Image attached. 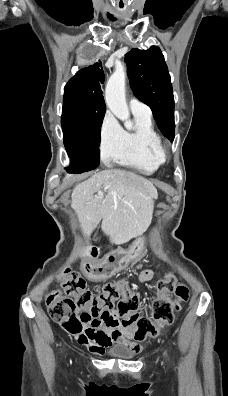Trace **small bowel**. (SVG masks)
Returning <instances> with one entry per match:
<instances>
[{
    "instance_id": "c3829d8e",
    "label": "small bowel",
    "mask_w": 228,
    "mask_h": 396,
    "mask_svg": "<svg viewBox=\"0 0 228 396\" xmlns=\"http://www.w3.org/2000/svg\"><path fill=\"white\" fill-rule=\"evenodd\" d=\"M131 261V256L127 252H117L107 256L99 265L85 266L86 272H92L99 277L112 275L116 271L124 268ZM141 269L139 274L140 282H147L153 278V272L148 269H142V264L137 265ZM81 345H85L91 352L103 354L105 349L112 344H124L129 346L135 352H140L142 346L133 341L134 332L128 328H93L87 326L84 331L76 336Z\"/></svg>"
}]
</instances>
